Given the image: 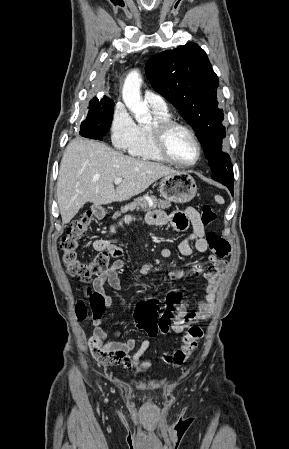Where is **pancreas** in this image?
<instances>
[{"label":"pancreas","instance_id":"obj_1","mask_svg":"<svg viewBox=\"0 0 289 449\" xmlns=\"http://www.w3.org/2000/svg\"><path fill=\"white\" fill-rule=\"evenodd\" d=\"M149 201H151V205L149 204ZM170 207V202L167 200H161L157 199L155 196H149L148 194L138 197L134 199L133 202L130 204H127L126 206L121 208V212H117L114 216V219L121 216V213H126L128 211L133 212L134 210H142V211H148L150 209L155 208H161L166 209Z\"/></svg>","mask_w":289,"mask_h":449}]
</instances>
